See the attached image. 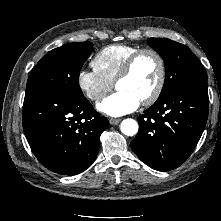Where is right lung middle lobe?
I'll return each instance as SVG.
<instances>
[{"label": "right lung middle lobe", "instance_id": "1", "mask_svg": "<svg viewBox=\"0 0 221 221\" xmlns=\"http://www.w3.org/2000/svg\"><path fill=\"white\" fill-rule=\"evenodd\" d=\"M93 51L91 42L68 43L51 50L35 66L27 87L59 92L73 97L84 96L79 87V74Z\"/></svg>", "mask_w": 221, "mask_h": 221}]
</instances>
